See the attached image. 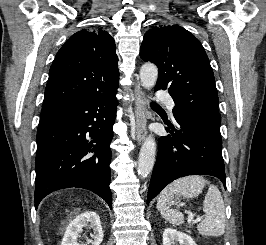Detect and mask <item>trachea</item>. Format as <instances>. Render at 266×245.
Here are the masks:
<instances>
[{
    "label": "trachea",
    "instance_id": "3493384b",
    "mask_svg": "<svg viewBox=\"0 0 266 245\" xmlns=\"http://www.w3.org/2000/svg\"><path fill=\"white\" fill-rule=\"evenodd\" d=\"M155 104V102H151V105Z\"/></svg>",
    "mask_w": 266,
    "mask_h": 245
}]
</instances>
